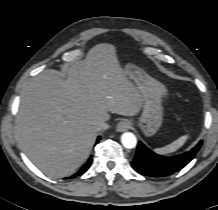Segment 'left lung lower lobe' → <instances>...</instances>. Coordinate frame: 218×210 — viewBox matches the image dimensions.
Here are the masks:
<instances>
[{
    "label": "left lung lower lobe",
    "instance_id": "0a47b994",
    "mask_svg": "<svg viewBox=\"0 0 218 210\" xmlns=\"http://www.w3.org/2000/svg\"><path fill=\"white\" fill-rule=\"evenodd\" d=\"M201 145L202 141L188 152L177 156L166 157L155 154L142 142H138L136 155L131 162V166L136 172L145 176H168L185 167L195 157Z\"/></svg>",
    "mask_w": 218,
    "mask_h": 210
}]
</instances>
